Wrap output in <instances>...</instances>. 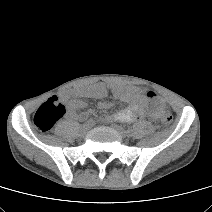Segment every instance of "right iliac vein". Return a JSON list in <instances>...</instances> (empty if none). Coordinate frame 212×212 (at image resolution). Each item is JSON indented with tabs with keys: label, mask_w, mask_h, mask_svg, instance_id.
Returning a JSON list of instances; mask_svg holds the SVG:
<instances>
[{
	"label": "right iliac vein",
	"mask_w": 212,
	"mask_h": 212,
	"mask_svg": "<svg viewBox=\"0 0 212 212\" xmlns=\"http://www.w3.org/2000/svg\"><path fill=\"white\" fill-rule=\"evenodd\" d=\"M89 129H90V126L89 125H83L79 129V134L81 136H84L88 132Z\"/></svg>",
	"instance_id": "63e3f726"
}]
</instances>
